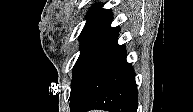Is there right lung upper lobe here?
<instances>
[{
  "instance_id": "right-lung-upper-lobe-1",
  "label": "right lung upper lobe",
  "mask_w": 193,
  "mask_h": 112,
  "mask_svg": "<svg viewBox=\"0 0 193 112\" xmlns=\"http://www.w3.org/2000/svg\"><path fill=\"white\" fill-rule=\"evenodd\" d=\"M88 19L84 26V29H95L108 32L119 33V27H110L112 17V11L102 9L100 4L93 5L87 15Z\"/></svg>"
}]
</instances>
